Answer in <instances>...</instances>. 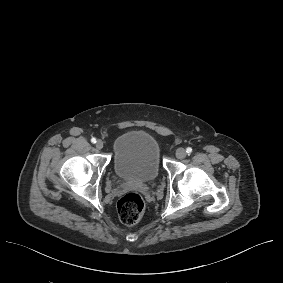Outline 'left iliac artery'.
Here are the masks:
<instances>
[{
	"instance_id": "1",
	"label": "left iliac artery",
	"mask_w": 283,
	"mask_h": 283,
	"mask_svg": "<svg viewBox=\"0 0 283 283\" xmlns=\"http://www.w3.org/2000/svg\"><path fill=\"white\" fill-rule=\"evenodd\" d=\"M186 152H187L188 154H190V153L192 152V148H191V147H188V148L186 149Z\"/></svg>"
}]
</instances>
